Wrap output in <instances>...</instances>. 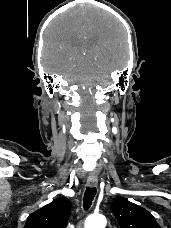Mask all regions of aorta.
Returning a JSON list of instances; mask_svg holds the SVG:
<instances>
[{
    "label": "aorta",
    "mask_w": 171,
    "mask_h": 228,
    "mask_svg": "<svg viewBox=\"0 0 171 228\" xmlns=\"http://www.w3.org/2000/svg\"><path fill=\"white\" fill-rule=\"evenodd\" d=\"M106 218L103 215H90L85 221V228H105Z\"/></svg>",
    "instance_id": "1"
}]
</instances>
